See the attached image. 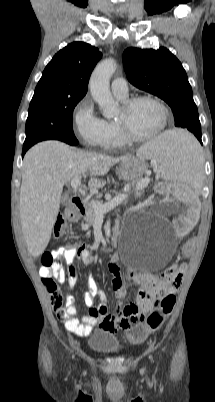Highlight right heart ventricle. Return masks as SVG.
<instances>
[{"instance_id":"obj_1","label":"right heart ventricle","mask_w":215,"mask_h":402,"mask_svg":"<svg viewBox=\"0 0 215 402\" xmlns=\"http://www.w3.org/2000/svg\"><path fill=\"white\" fill-rule=\"evenodd\" d=\"M116 97L121 102H124L127 98V96L126 97L116 96ZM106 122H107V125L110 130V136H109V139L105 146L114 147V148L124 146L126 144V141L124 140V138L122 137V135L120 133V130L117 125V121L110 120V121H106Z\"/></svg>"}]
</instances>
